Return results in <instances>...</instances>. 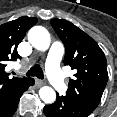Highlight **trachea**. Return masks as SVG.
Masks as SVG:
<instances>
[{
	"label": "trachea",
	"mask_w": 117,
	"mask_h": 117,
	"mask_svg": "<svg viewBox=\"0 0 117 117\" xmlns=\"http://www.w3.org/2000/svg\"><path fill=\"white\" fill-rule=\"evenodd\" d=\"M26 76H36L39 79H44L42 68L38 64H35L33 67H31L26 73Z\"/></svg>",
	"instance_id": "3493384b"
}]
</instances>
